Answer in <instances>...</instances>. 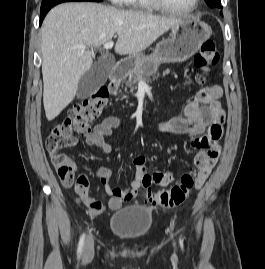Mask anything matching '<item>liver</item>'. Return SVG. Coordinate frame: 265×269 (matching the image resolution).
<instances>
[{"label":"liver","mask_w":265,"mask_h":269,"mask_svg":"<svg viewBox=\"0 0 265 269\" xmlns=\"http://www.w3.org/2000/svg\"><path fill=\"white\" fill-rule=\"evenodd\" d=\"M181 19L99 3H63L42 24L43 104L48 121L74 99L80 78L91 68L92 52L118 35L115 52L134 57ZM86 46L85 50L78 46Z\"/></svg>","instance_id":"6515ba94"}]
</instances>
